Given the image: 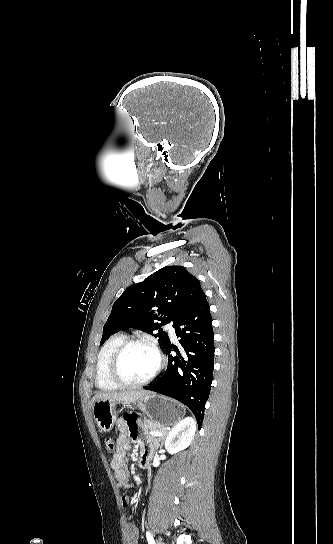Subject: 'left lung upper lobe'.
Returning <instances> with one entry per match:
<instances>
[{"mask_svg": "<svg viewBox=\"0 0 333 544\" xmlns=\"http://www.w3.org/2000/svg\"><path fill=\"white\" fill-rule=\"evenodd\" d=\"M203 293L198 279L183 266H165L143 282L129 286L116 300L100 344L119 330L134 328L158 337L165 349L170 339L161 327L170 321L175 325Z\"/></svg>", "mask_w": 333, "mask_h": 544, "instance_id": "5c2ea615", "label": "left lung upper lobe"}]
</instances>
